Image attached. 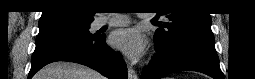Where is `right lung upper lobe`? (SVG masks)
Segmentation results:
<instances>
[{
  "instance_id": "right-lung-upper-lobe-1",
  "label": "right lung upper lobe",
  "mask_w": 255,
  "mask_h": 79,
  "mask_svg": "<svg viewBox=\"0 0 255 79\" xmlns=\"http://www.w3.org/2000/svg\"><path fill=\"white\" fill-rule=\"evenodd\" d=\"M92 5L88 0H48L40 19L72 15L84 21H92Z\"/></svg>"
}]
</instances>
